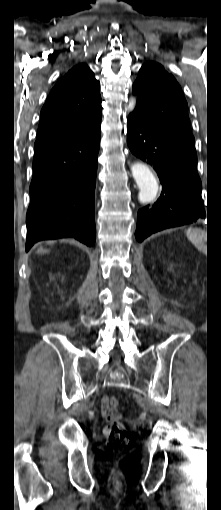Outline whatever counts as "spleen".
Returning a JSON list of instances; mask_svg holds the SVG:
<instances>
[{"instance_id": "3e777b00", "label": "spleen", "mask_w": 221, "mask_h": 510, "mask_svg": "<svg viewBox=\"0 0 221 510\" xmlns=\"http://www.w3.org/2000/svg\"><path fill=\"white\" fill-rule=\"evenodd\" d=\"M188 239L193 245L202 252L206 251V233L205 231L197 228H189L186 231Z\"/></svg>"}]
</instances>
